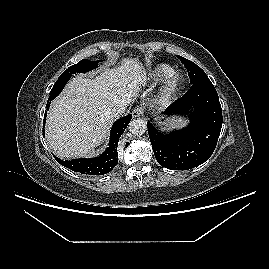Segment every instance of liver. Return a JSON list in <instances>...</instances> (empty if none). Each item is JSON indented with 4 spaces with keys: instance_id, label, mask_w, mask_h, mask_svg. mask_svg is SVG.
Listing matches in <instances>:
<instances>
[{
    "instance_id": "obj_1",
    "label": "liver",
    "mask_w": 269,
    "mask_h": 269,
    "mask_svg": "<svg viewBox=\"0 0 269 269\" xmlns=\"http://www.w3.org/2000/svg\"><path fill=\"white\" fill-rule=\"evenodd\" d=\"M120 63L92 79L73 77L52 102L45 133L58 157L85 156L100 145L112 124L109 109L129 105L145 85L146 72L137 58H122Z\"/></svg>"
}]
</instances>
